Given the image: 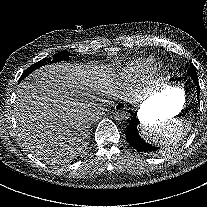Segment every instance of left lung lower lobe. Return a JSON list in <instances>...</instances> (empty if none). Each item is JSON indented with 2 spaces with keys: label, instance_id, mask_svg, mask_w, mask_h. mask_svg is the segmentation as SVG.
Here are the masks:
<instances>
[{
  "label": "left lung lower lobe",
  "instance_id": "obj_1",
  "mask_svg": "<svg viewBox=\"0 0 207 207\" xmlns=\"http://www.w3.org/2000/svg\"><path fill=\"white\" fill-rule=\"evenodd\" d=\"M191 77L193 78V81H194L195 85L198 87L197 92H198V96H199L200 87H199V82H198V76H197V74H194ZM138 123H139V120L136 119L135 117H133L131 122H130V125L128 126L127 131L125 133L128 143L134 149H136L138 152L150 153V152L156 151L157 150L156 147L146 143L139 136V134L137 132V128H136Z\"/></svg>",
  "mask_w": 207,
  "mask_h": 207
}]
</instances>
